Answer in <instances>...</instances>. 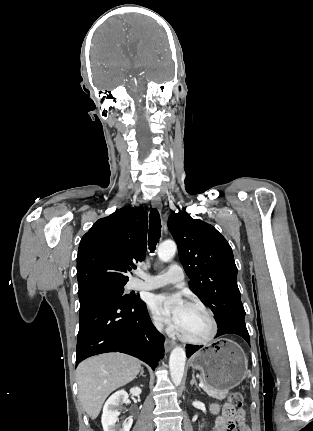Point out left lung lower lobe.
<instances>
[{
    "label": "left lung lower lobe",
    "mask_w": 313,
    "mask_h": 431,
    "mask_svg": "<svg viewBox=\"0 0 313 431\" xmlns=\"http://www.w3.org/2000/svg\"><path fill=\"white\" fill-rule=\"evenodd\" d=\"M226 334H235V335L241 336L250 345L249 333L247 331L244 318H233L219 325L216 336L218 337ZM200 348L201 346L188 345L186 347L187 357H190L193 353H195Z\"/></svg>",
    "instance_id": "obj_1"
}]
</instances>
